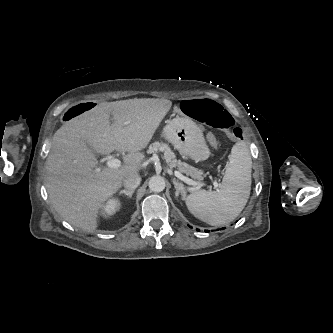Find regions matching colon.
Instances as JSON below:
<instances>
[{
  "mask_svg": "<svg viewBox=\"0 0 333 333\" xmlns=\"http://www.w3.org/2000/svg\"><path fill=\"white\" fill-rule=\"evenodd\" d=\"M95 103L78 104L70 108L64 115L65 121H70L78 114L85 111L86 108H95ZM182 110L188 112L190 117H193L203 124L213 127L225 129L227 135L235 140L242 141L246 134L236 123L233 117L225 111L218 103L210 99H193L182 103Z\"/></svg>",
  "mask_w": 333,
  "mask_h": 333,
  "instance_id": "1",
  "label": "colon"
}]
</instances>
